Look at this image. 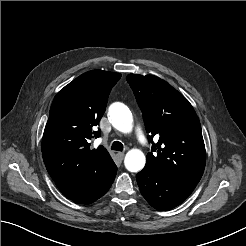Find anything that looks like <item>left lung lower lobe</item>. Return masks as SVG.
<instances>
[{
  "instance_id": "left-lung-lower-lobe-1",
  "label": "left lung lower lobe",
  "mask_w": 246,
  "mask_h": 246,
  "mask_svg": "<svg viewBox=\"0 0 246 246\" xmlns=\"http://www.w3.org/2000/svg\"><path fill=\"white\" fill-rule=\"evenodd\" d=\"M136 179L143 197L158 210H169L181 204L198 183L147 169L140 171Z\"/></svg>"
}]
</instances>
